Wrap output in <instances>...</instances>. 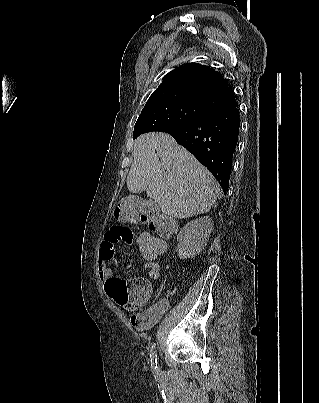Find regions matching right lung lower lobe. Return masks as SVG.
I'll return each mask as SVG.
<instances>
[{"mask_svg": "<svg viewBox=\"0 0 319 403\" xmlns=\"http://www.w3.org/2000/svg\"><path fill=\"white\" fill-rule=\"evenodd\" d=\"M238 112L237 107L210 112L189 124L169 126L159 131L172 135L178 144L190 151L226 192L238 142Z\"/></svg>", "mask_w": 319, "mask_h": 403, "instance_id": "98d812e1", "label": "right lung lower lobe"}]
</instances>
